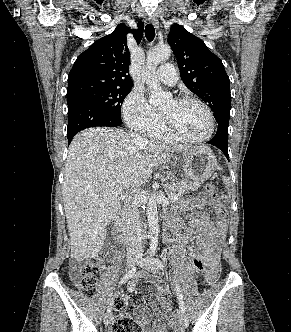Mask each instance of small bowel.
<instances>
[{
  "instance_id": "c3829d8e",
  "label": "small bowel",
  "mask_w": 291,
  "mask_h": 332,
  "mask_svg": "<svg viewBox=\"0 0 291 332\" xmlns=\"http://www.w3.org/2000/svg\"><path fill=\"white\" fill-rule=\"evenodd\" d=\"M175 229V243L170 251L171 256L188 260L201 273H205L208 267L218 263L220 246L225 238V229L223 227H216L209 220L207 214L203 213L197 216L188 227L178 225ZM192 240L198 243L197 253L190 251L189 243ZM142 276L143 274H140L137 279ZM137 279L132 281L130 289H133ZM158 303H160V307ZM150 308L156 315V321L145 332H167L172 326L173 319L167 315L171 310V304L161 285L158 286V293L151 297ZM135 315L140 325H147L150 322L151 313L144 306L136 307Z\"/></svg>"
}]
</instances>
